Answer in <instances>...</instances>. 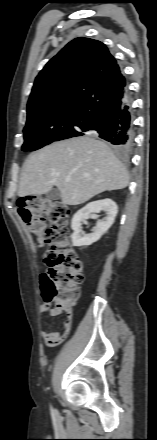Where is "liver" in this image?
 Here are the masks:
<instances>
[{
	"instance_id": "liver-1",
	"label": "liver",
	"mask_w": 157,
	"mask_h": 440,
	"mask_svg": "<svg viewBox=\"0 0 157 440\" xmlns=\"http://www.w3.org/2000/svg\"><path fill=\"white\" fill-rule=\"evenodd\" d=\"M128 183L126 168L108 145L84 136L54 142L30 154L23 164L18 195H42L56 186L64 204L79 205Z\"/></svg>"
}]
</instances>
